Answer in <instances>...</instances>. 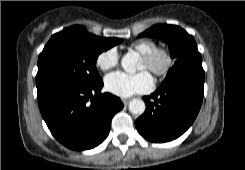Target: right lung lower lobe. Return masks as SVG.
<instances>
[{
	"label": "right lung lower lobe",
	"mask_w": 245,
	"mask_h": 170,
	"mask_svg": "<svg viewBox=\"0 0 245 170\" xmlns=\"http://www.w3.org/2000/svg\"><path fill=\"white\" fill-rule=\"evenodd\" d=\"M103 81L86 88H65L38 99L52 135L72 150H88L109 134L111 119L123 108L121 100L101 93Z\"/></svg>",
	"instance_id": "obj_1"
}]
</instances>
